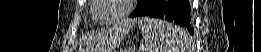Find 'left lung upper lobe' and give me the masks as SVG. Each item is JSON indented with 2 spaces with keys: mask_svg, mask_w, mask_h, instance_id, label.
Here are the masks:
<instances>
[{
  "mask_svg": "<svg viewBox=\"0 0 261 52\" xmlns=\"http://www.w3.org/2000/svg\"><path fill=\"white\" fill-rule=\"evenodd\" d=\"M153 0H138V6L134 13L131 14V17H133L136 13L140 12L143 8H145L147 5H149Z\"/></svg>",
  "mask_w": 261,
  "mask_h": 52,
  "instance_id": "left-lung-upper-lobe-1",
  "label": "left lung upper lobe"
}]
</instances>
